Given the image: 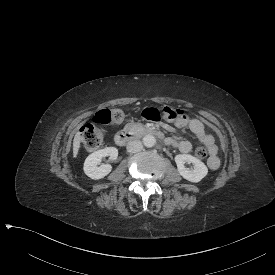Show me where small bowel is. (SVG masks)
<instances>
[{"label":"small bowel","instance_id":"obj_1","mask_svg":"<svg viewBox=\"0 0 275 275\" xmlns=\"http://www.w3.org/2000/svg\"><path fill=\"white\" fill-rule=\"evenodd\" d=\"M178 128H186L190 130L196 139L206 146L210 152V158L207 161V165L210 169L216 170L220 166V159L217 156V146L215 144L214 137L206 132L203 123L197 118H187L178 121L176 124ZM181 153H189L192 150V144L188 140L170 141Z\"/></svg>","mask_w":275,"mask_h":275}]
</instances>
